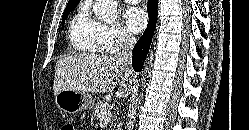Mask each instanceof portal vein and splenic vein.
<instances>
[{"mask_svg":"<svg viewBox=\"0 0 249 130\" xmlns=\"http://www.w3.org/2000/svg\"><path fill=\"white\" fill-rule=\"evenodd\" d=\"M111 118L110 112H102L100 115V121L101 122H108Z\"/></svg>","mask_w":249,"mask_h":130,"instance_id":"1","label":"portal vein and splenic vein"}]
</instances>
